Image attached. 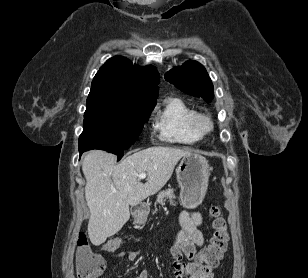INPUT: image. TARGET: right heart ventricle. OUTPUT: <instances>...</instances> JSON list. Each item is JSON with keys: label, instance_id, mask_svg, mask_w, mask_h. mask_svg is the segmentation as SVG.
I'll use <instances>...</instances> for the list:
<instances>
[{"label": "right heart ventricle", "instance_id": "obj_1", "mask_svg": "<svg viewBox=\"0 0 308 278\" xmlns=\"http://www.w3.org/2000/svg\"><path fill=\"white\" fill-rule=\"evenodd\" d=\"M197 112L181 98L168 97L154 117V129L165 142L192 145L201 139L192 127Z\"/></svg>", "mask_w": 308, "mask_h": 278}]
</instances>
